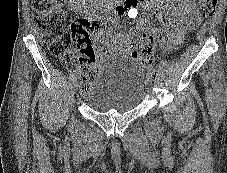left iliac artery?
<instances>
[{"instance_id":"44dca946","label":"left iliac artery","mask_w":227,"mask_h":173,"mask_svg":"<svg viewBox=\"0 0 227 173\" xmlns=\"http://www.w3.org/2000/svg\"><path fill=\"white\" fill-rule=\"evenodd\" d=\"M147 71L149 73H151L152 75L155 74V69L153 67H151V66L147 68Z\"/></svg>"}]
</instances>
